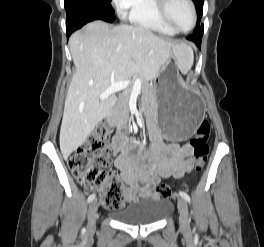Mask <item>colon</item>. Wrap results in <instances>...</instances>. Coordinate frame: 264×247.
Masks as SVG:
<instances>
[{
	"label": "colon",
	"instance_id": "1",
	"mask_svg": "<svg viewBox=\"0 0 264 247\" xmlns=\"http://www.w3.org/2000/svg\"><path fill=\"white\" fill-rule=\"evenodd\" d=\"M110 130L106 125L98 126L68 158V167L85 189H100L101 204L106 209H120L124 206L122 184L119 179L106 170L109 161ZM210 124L202 121L190 141L195 156V171H201L206 163L209 146ZM162 198L171 196V189L166 184L157 187Z\"/></svg>",
	"mask_w": 264,
	"mask_h": 247
}]
</instances>
